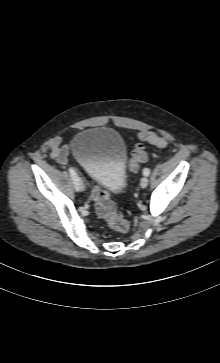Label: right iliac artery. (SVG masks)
Listing matches in <instances>:
<instances>
[{
    "label": "right iliac artery",
    "mask_w": 220,
    "mask_h": 363,
    "mask_svg": "<svg viewBox=\"0 0 220 363\" xmlns=\"http://www.w3.org/2000/svg\"><path fill=\"white\" fill-rule=\"evenodd\" d=\"M69 173H70V176H71V178L73 180L75 189L78 191L79 190V187H78V176H77V173L75 172V170L72 167L69 168Z\"/></svg>",
    "instance_id": "82829eb1"
}]
</instances>
